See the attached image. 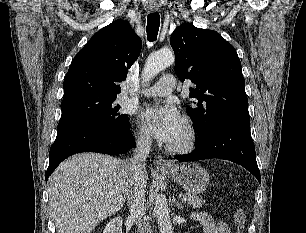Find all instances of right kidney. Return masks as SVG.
I'll use <instances>...</instances> for the list:
<instances>
[{
	"mask_svg": "<svg viewBox=\"0 0 306 233\" xmlns=\"http://www.w3.org/2000/svg\"><path fill=\"white\" fill-rule=\"evenodd\" d=\"M103 233H122V219L115 217L107 223Z\"/></svg>",
	"mask_w": 306,
	"mask_h": 233,
	"instance_id": "ca27d5eb",
	"label": "right kidney"
}]
</instances>
